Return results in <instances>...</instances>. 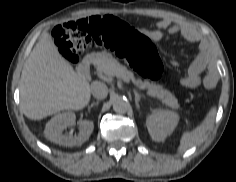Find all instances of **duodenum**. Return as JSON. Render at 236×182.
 Here are the masks:
<instances>
[{"label":"duodenum","mask_w":236,"mask_h":182,"mask_svg":"<svg viewBox=\"0 0 236 182\" xmlns=\"http://www.w3.org/2000/svg\"><path fill=\"white\" fill-rule=\"evenodd\" d=\"M91 57L86 56L82 63L78 66V73L83 77H88L90 74Z\"/></svg>","instance_id":"410a0bca"}]
</instances>
